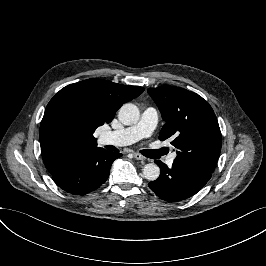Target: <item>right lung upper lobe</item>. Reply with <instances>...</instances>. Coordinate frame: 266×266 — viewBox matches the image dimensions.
I'll use <instances>...</instances> for the list:
<instances>
[{
	"mask_svg": "<svg viewBox=\"0 0 266 266\" xmlns=\"http://www.w3.org/2000/svg\"><path fill=\"white\" fill-rule=\"evenodd\" d=\"M144 88L88 79L61 89L48 103L40 125L44 164L53 173L70 154L97 147V127L112 121L115 112L138 97Z\"/></svg>",
	"mask_w": 266,
	"mask_h": 266,
	"instance_id": "1",
	"label": "right lung upper lobe"
}]
</instances>
